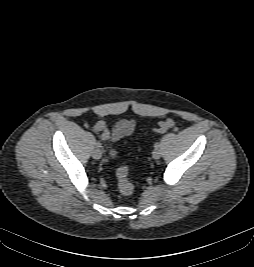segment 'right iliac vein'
<instances>
[{
    "instance_id": "right-iliac-vein-1",
    "label": "right iliac vein",
    "mask_w": 254,
    "mask_h": 267,
    "mask_svg": "<svg viewBox=\"0 0 254 267\" xmlns=\"http://www.w3.org/2000/svg\"><path fill=\"white\" fill-rule=\"evenodd\" d=\"M92 156H93L94 159H97V160L100 159L101 156H102V151H101V149H100V148H96V149L93 151Z\"/></svg>"
}]
</instances>
